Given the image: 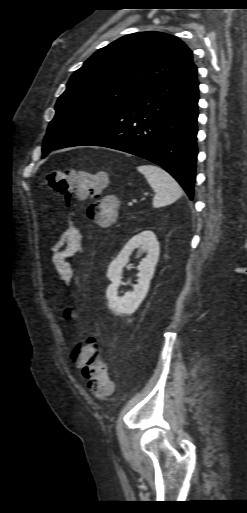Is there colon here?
I'll return each mask as SVG.
<instances>
[{
  "mask_svg": "<svg viewBox=\"0 0 247 513\" xmlns=\"http://www.w3.org/2000/svg\"><path fill=\"white\" fill-rule=\"evenodd\" d=\"M105 183L106 179L101 175L75 169L51 171L44 177V186L60 193L66 202L73 198L89 199ZM115 210V200L106 196L88 206L87 217L101 227H108L117 219ZM101 352L102 345L98 340H75L69 348V357L74 361L75 371L87 380L90 392L96 397L104 398L112 393L113 384L105 362L99 358Z\"/></svg>",
  "mask_w": 247,
  "mask_h": 513,
  "instance_id": "obj_1",
  "label": "colon"
}]
</instances>
